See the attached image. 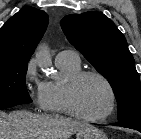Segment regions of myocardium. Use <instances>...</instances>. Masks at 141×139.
Instances as JSON below:
<instances>
[{
  "label": "myocardium",
  "mask_w": 141,
  "mask_h": 139,
  "mask_svg": "<svg viewBox=\"0 0 141 139\" xmlns=\"http://www.w3.org/2000/svg\"><path fill=\"white\" fill-rule=\"evenodd\" d=\"M90 76L97 77L100 80H102L110 92V97H111L110 107L104 115L99 117H91L84 114L80 110L77 103L76 93H77L78 85L83 79ZM65 101H66L67 108L72 115L89 122H102L107 120L113 114L117 104V96H116V92L112 83L105 75L94 70H82L76 73L75 75H73L67 81L65 85Z\"/></svg>",
  "instance_id": "1"
}]
</instances>
